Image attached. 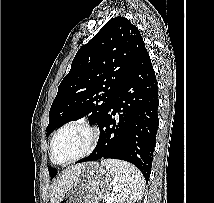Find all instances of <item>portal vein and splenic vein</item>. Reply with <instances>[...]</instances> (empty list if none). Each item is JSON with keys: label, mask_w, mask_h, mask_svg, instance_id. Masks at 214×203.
Masks as SVG:
<instances>
[{"label": "portal vein and splenic vein", "mask_w": 214, "mask_h": 203, "mask_svg": "<svg viewBox=\"0 0 214 203\" xmlns=\"http://www.w3.org/2000/svg\"><path fill=\"white\" fill-rule=\"evenodd\" d=\"M106 200H114L112 196L108 195Z\"/></svg>", "instance_id": "1"}]
</instances>
